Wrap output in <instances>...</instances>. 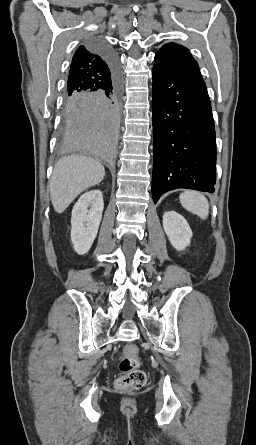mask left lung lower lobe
<instances>
[{
  "label": "left lung lower lobe",
  "mask_w": 256,
  "mask_h": 445,
  "mask_svg": "<svg viewBox=\"0 0 256 445\" xmlns=\"http://www.w3.org/2000/svg\"><path fill=\"white\" fill-rule=\"evenodd\" d=\"M152 196L177 188L214 192L215 127L205 82L155 64Z\"/></svg>",
  "instance_id": "obj_1"
}]
</instances>
